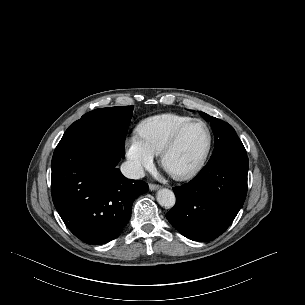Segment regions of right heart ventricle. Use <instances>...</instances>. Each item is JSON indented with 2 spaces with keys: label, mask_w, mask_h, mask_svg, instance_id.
Instances as JSON below:
<instances>
[{
  "label": "right heart ventricle",
  "mask_w": 305,
  "mask_h": 305,
  "mask_svg": "<svg viewBox=\"0 0 305 305\" xmlns=\"http://www.w3.org/2000/svg\"><path fill=\"white\" fill-rule=\"evenodd\" d=\"M192 119L174 113L153 116L139 124L137 136L153 155L159 156L176 131Z\"/></svg>",
  "instance_id": "1"
}]
</instances>
